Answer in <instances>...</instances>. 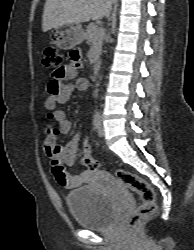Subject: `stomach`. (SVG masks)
<instances>
[{"label": "stomach", "mask_w": 194, "mask_h": 250, "mask_svg": "<svg viewBox=\"0 0 194 250\" xmlns=\"http://www.w3.org/2000/svg\"><path fill=\"white\" fill-rule=\"evenodd\" d=\"M54 44L63 50H69L84 40V30L81 24H69L54 28Z\"/></svg>", "instance_id": "obj_1"}]
</instances>
